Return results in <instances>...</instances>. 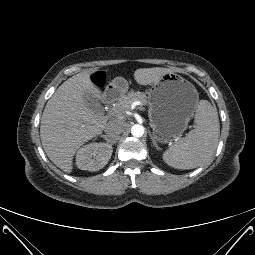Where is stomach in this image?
<instances>
[{"instance_id":"stomach-1","label":"stomach","mask_w":255,"mask_h":255,"mask_svg":"<svg viewBox=\"0 0 255 255\" xmlns=\"http://www.w3.org/2000/svg\"><path fill=\"white\" fill-rule=\"evenodd\" d=\"M127 87L126 80L117 77L107 90L122 95ZM147 95L155 140L159 143L177 141L197 109L199 95L195 86L181 75L169 72L153 83Z\"/></svg>"}]
</instances>
